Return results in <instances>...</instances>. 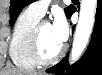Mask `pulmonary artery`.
Masks as SVG:
<instances>
[{"instance_id": "1", "label": "pulmonary artery", "mask_w": 102, "mask_h": 75, "mask_svg": "<svg viewBox=\"0 0 102 75\" xmlns=\"http://www.w3.org/2000/svg\"><path fill=\"white\" fill-rule=\"evenodd\" d=\"M51 0L35 1L29 5V8L38 16L42 17L51 3Z\"/></svg>"}]
</instances>
